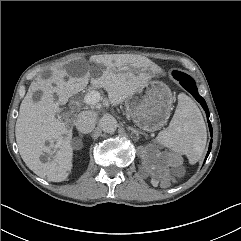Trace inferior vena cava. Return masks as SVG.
<instances>
[{
  "label": "inferior vena cava",
  "mask_w": 241,
  "mask_h": 241,
  "mask_svg": "<svg viewBox=\"0 0 241 241\" xmlns=\"http://www.w3.org/2000/svg\"><path fill=\"white\" fill-rule=\"evenodd\" d=\"M97 114L94 111H82L78 114L75 125L79 132L88 134L93 131L96 125Z\"/></svg>",
  "instance_id": "inferior-vena-cava-1"
}]
</instances>
